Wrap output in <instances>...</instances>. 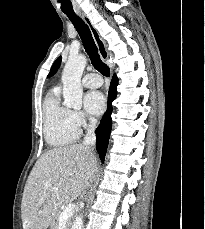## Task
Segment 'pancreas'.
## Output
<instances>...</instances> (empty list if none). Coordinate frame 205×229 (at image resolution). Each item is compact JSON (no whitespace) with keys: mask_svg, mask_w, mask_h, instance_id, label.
Segmentation results:
<instances>
[{"mask_svg":"<svg viewBox=\"0 0 205 229\" xmlns=\"http://www.w3.org/2000/svg\"><path fill=\"white\" fill-rule=\"evenodd\" d=\"M61 212L57 211V213L55 214V221L51 224L50 229H58V222H59V216H60ZM71 226V222L69 220H67L65 228L64 229H70Z\"/></svg>","mask_w":205,"mask_h":229,"instance_id":"pancreas-1","label":"pancreas"}]
</instances>
